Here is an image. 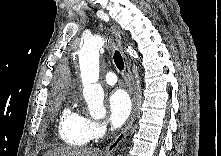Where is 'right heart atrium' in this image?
<instances>
[{"instance_id":"obj_1","label":"right heart atrium","mask_w":221,"mask_h":156,"mask_svg":"<svg viewBox=\"0 0 221 156\" xmlns=\"http://www.w3.org/2000/svg\"><path fill=\"white\" fill-rule=\"evenodd\" d=\"M85 128L90 140L101 139L107 132L105 122L91 118H85Z\"/></svg>"}]
</instances>
